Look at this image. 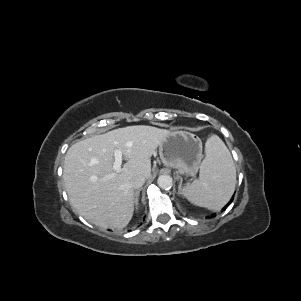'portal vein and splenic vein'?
Returning <instances> with one entry per match:
<instances>
[{"label": "portal vein and splenic vein", "mask_w": 301, "mask_h": 301, "mask_svg": "<svg viewBox=\"0 0 301 301\" xmlns=\"http://www.w3.org/2000/svg\"><path fill=\"white\" fill-rule=\"evenodd\" d=\"M122 165V153L120 150L114 151V163H113V169L115 172H119L121 170Z\"/></svg>", "instance_id": "obj_1"}]
</instances>
